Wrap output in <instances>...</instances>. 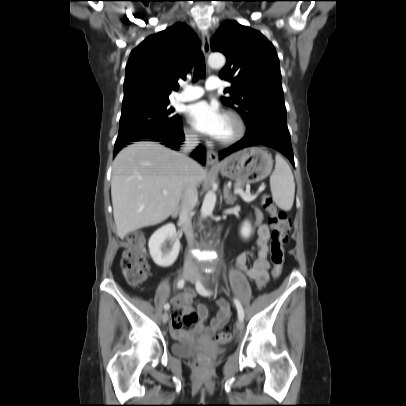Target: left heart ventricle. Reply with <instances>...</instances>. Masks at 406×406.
Wrapping results in <instances>:
<instances>
[{
  "label": "left heart ventricle",
  "mask_w": 406,
  "mask_h": 406,
  "mask_svg": "<svg viewBox=\"0 0 406 406\" xmlns=\"http://www.w3.org/2000/svg\"><path fill=\"white\" fill-rule=\"evenodd\" d=\"M236 131L234 123L224 116L223 125L219 133L218 139H225L232 136Z\"/></svg>",
  "instance_id": "obj_1"
}]
</instances>
